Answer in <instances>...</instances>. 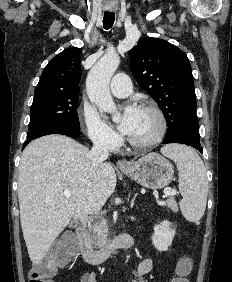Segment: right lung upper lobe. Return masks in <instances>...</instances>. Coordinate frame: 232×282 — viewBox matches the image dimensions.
<instances>
[{
  "mask_svg": "<svg viewBox=\"0 0 232 282\" xmlns=\"http://www.w3.org/2000/svg\"><path fill=\"white\" fill-rule=\"evenodd\" d=\"M80 48L65 49L44 68L34 93H79L81 77Z\"/></svg>",
  "mask_w": 232,
  "mask_h": 282,
  "instance_id": "obj_1",
  "label": "right lung upper lobe"
}]
</instances>
